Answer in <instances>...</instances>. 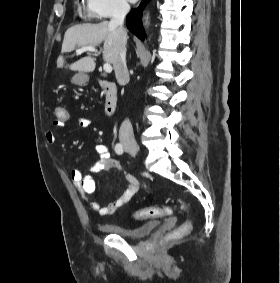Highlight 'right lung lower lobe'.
Instances as JSON below:
<instances>
[{"mask_svg": "<svg viewBox=\"0 0 280 283\" xmlns=\"http://www.w3.org/2000/svg\"><path fill=\"white\" fill-rule=\"evenodd\" d=\"M149 0H143L138 8L133 9L126 17L127 28L144 41L145 31L142 25V12Z\"/></svg>", "mask_w": 280, "mask_h": 283, "instance_id": "1", "label": "right lung lower lobe"}]
</instances>
